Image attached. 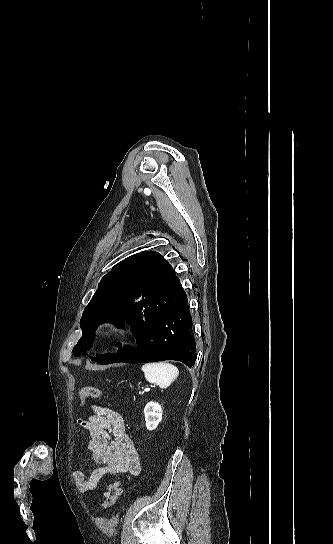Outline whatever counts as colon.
<instances>
[{"instance_id":"1","label":"colon","mask_w":333,"mask_h":544,"mask_svg":"<svg viewBox=\"0 0 333 544\" xmlns=\"http://www.w3.org/2000/svg\"><path fill=\"white\" fill-rule=\"evenodd\" d=\"M101 396H102L101 392L97 388L93 386H89V385H84L79 390L78 400H79V403L82 404L84 400L88 397L101 398ZM121 492L122 490H121V486L119 482L117 481L111 482L107 489L106 498L102 503L103 508L105 510H109L117 502V500L119 499L121 495Z\"/></svg>"}]
</instances>
